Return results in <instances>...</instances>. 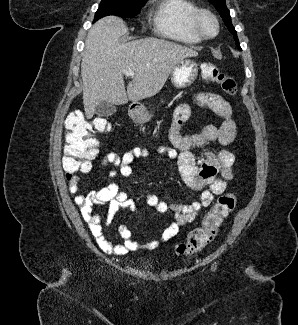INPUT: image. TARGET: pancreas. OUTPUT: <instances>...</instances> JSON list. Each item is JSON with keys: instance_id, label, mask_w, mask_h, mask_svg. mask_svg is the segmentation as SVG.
<instances>
[{"instance_id": "cf45deb5", "label": "pancreas", "mask_w": 298, "mask_h": 325, "mask_svg": "<svg viewBox=\"0 0 298 325\" xmlns=\"http://www.w3.org/2000/svg\"><path fill=\"white\" fill-rule=\"evenodd\" d=\"M160 102H165L164 98H161Z\"/></svg>"}]
</instances>
